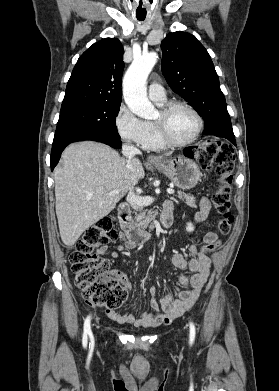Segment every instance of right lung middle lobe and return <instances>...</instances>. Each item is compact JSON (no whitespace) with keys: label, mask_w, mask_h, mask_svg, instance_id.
<instances>
[{"label":"right lung middle lobe","mask_w":279,"mask_h":391,"mask_svg":"<svg viewBox=\"0 0 279 391\" xmlns=\"http://www.w3.org/2000/svg\"><path fill=\"white\" fill-rule=\"evenodd\" d=\"M120 104L97 102L61 109L53 143L93 131H117L115 121Z\"/></svg>","instance_id":"1"}]
</instances>
